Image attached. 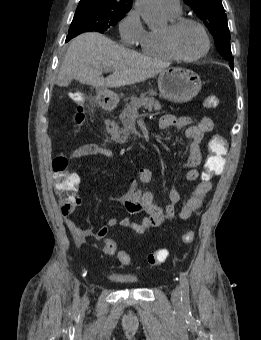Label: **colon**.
Segmentation results:
<instances>
[{"label":"colon","mask_w":261,"mask_h":340,"mask_svg":"<svg viewBox=\"0 0 261 340\" xmlns=\"http://www.w3.org/2000/svg\"><path fill=\"white\" fill-rule=\"evenodd\" d=\"M219 105V99L216 96H209L204 101L206 108H216ZM85 114L82 106L77 105L74 110V121L81 124ZM228 144L226 139L221 135H214L208 141L209 154L204 164V171L201 178L205 181H210L219 174L224 165V156L227 152ZM53 188L58 197L60 210L63 215H69L80 204V199L77 196L78 180L75 174L69 171V161L65 156H57L52 162ZM194 239L193 231H186L182 234L184 243H191ZM102 251L107 255H117L119 261L128 266L131 264L129 254L118 250L116 243L111 239H105L102 245ZM167 249H158L146 258V263L149 266H158L164 263L168 258Z\"/></svg>","instance_id":"obj_1"}]
</instances>
